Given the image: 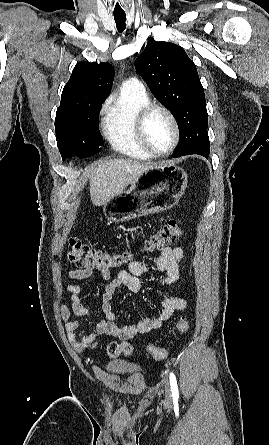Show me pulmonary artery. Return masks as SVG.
<instances>
[{
	"instance_id": "1",
	"label": "pulmonary artery",
	"mask_w": 269,
	"mask_h": 445,
	"mask_svg": "<svg viewBox=\"0 0 269 445\" xmlns=\"http://www.w3.org/2000/svg\"><path fill=\"white\" fill-rule=\"evenodd\" d=\"M123 88L131 89L137 92L145 93V88L141 81H139L137 78H129L125 80L122 84Z\"/></svg>"
}]
</instances>
